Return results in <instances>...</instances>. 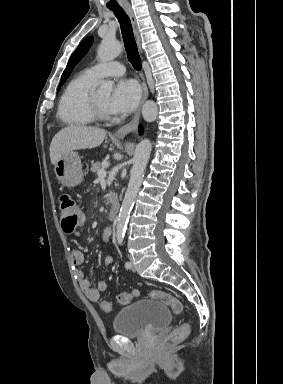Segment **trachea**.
<instances>
[{
    "label": "trachea",
    "instance_id": "3493384b",
    "mask_svg": "<svg viewBox=\"0 0 283 384\" xmlns=\"http://www.w3.org/2000/svg\"><path fill=\"white\" fill-rule=\"evenodd\" d=\"M120 23L124 46L127 52L128 60L135 70H141V59L137 50V44L133 35L131 20L123 8H110Z\"/></svg>",
    "mask_w": 283,
    "mask_h": 384
}]
</instances>
